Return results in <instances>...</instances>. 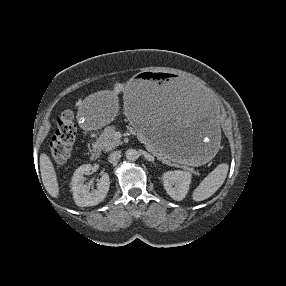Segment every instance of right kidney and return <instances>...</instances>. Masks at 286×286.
Masks as SVG:
<instances>
[{
    "mask_svg": "<svg viewBox=\"0 0 286 286\" xmlns=\"http://www.w3.org/2000/svg\"><path fill=\"white\" fill-rule=\"evenodd\" d=\"M91 170V164H83L76 169L72 176L70 185L73 192V199L80 207L99 204L104 200L109 190L110 180L107 173H104L99 179L96 190L89 191L87 189V184L84 182V175H90Z\"/></svg>",
    "mask_w": 286,
    "mask_h": 286,
    "instance_id": "obj_1",
    "label": "right kidney"
}]
</instances>
